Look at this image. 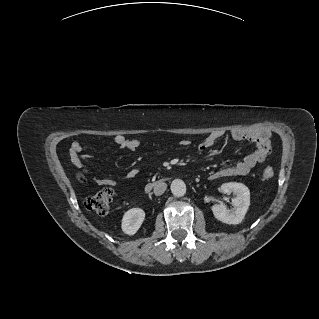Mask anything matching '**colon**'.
Instances as JSON below:
<instances>
[{
  "instance_id": "colon-1",
  "label": "colon",
  "mask_w": 319,
  "mask_h": 319,
  "mask_svg": "<svg viewBox=\"0 0 319 319\" xmlns=\"http://www.w3.org/2000/svg\"><path fill=\"white\" fill-rule=\"evenodd\" d=\"M274 176V170L271 167H266L262 171L264 180H270ZM112 199V192L110 189H103L96 194L88 197L85 200V208L99 216H104L108 213L110 202Z\"/></svg>"
}]
</instances>
